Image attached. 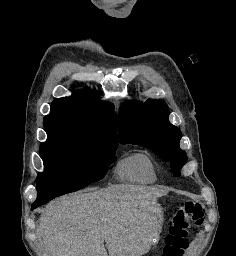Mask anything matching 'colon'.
I'll list each match as a JSON object with an SVG mask.
<instances>
[{
	"instance_id": "1",
	"label": "colon",
	"mask_w": 236,
	"mask_h": 256,
	"mask_svg": "<svg viewBox=\"0 0 236 256\" xmlns=\"http://www.w3.org/2000/svg\"><path fill=\"white\" fill-rule=\"evenodd\" d=\"M190 222L196 227L204 223L203 207L195 200L184 201L172 214L162 256H184Z\"/></svg>"
}]
</instances>
